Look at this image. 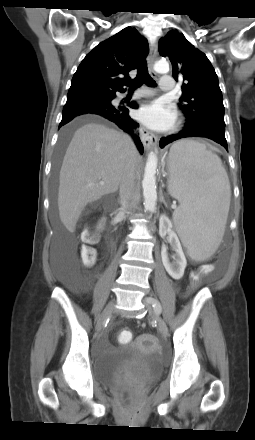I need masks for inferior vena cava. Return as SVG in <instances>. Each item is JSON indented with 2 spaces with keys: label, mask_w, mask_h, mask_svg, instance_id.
Here are the masks:
<instances>
[{
  "label": "inferior vena cava",
  "mask_w": 255,
  "mask_h": 440,
  "mask_svg": "<svg viewBox=\"0 0 255 440\" xmlns=\"http://www.w3.org/2000/svg\"><path fill=\"white\" fill-rule=\"evenodd\" d=\"M130 140L131 149H130V157L127 161L125 167V174L120 183V205L122 211H129L132 208L131 199L134 194V184H135V163H134V155L137 150L133 142Z\"/></svg>",
  "instance_id": "inferior-vena-cava-1"
}]
</instances>
